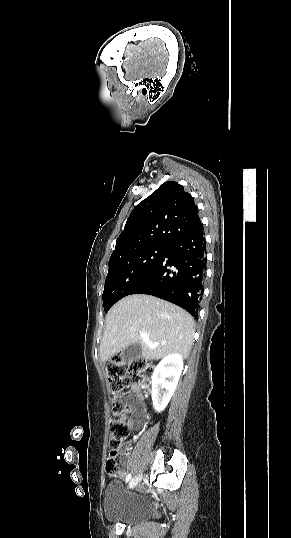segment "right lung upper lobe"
I'll list each match as a JSON object with an SVG mask.
<instances>
[{
    "label": "right lung upper lobe",
    "mask_w": 291,
    "mask_h": 538,
    "mask_svg": "<svg viewBox=\"0 0 291 538\" xmlns=\"http://www.w3.org/2000/svg\"><path fill=\"white\" fill-rule=\"evenodd\" d=\"M200 225L194 198L182 185L167 181L133 209L110 258L146 246H170Z\"/></svg>",
    "instance_id": "obj_1"
}]
</instances>
